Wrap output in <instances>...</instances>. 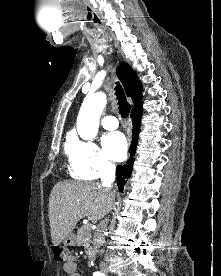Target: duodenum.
<instances>
[{
  "label": "duodenum",
  "mask_w": 221,
  "mask_h": 276,
  "mask_svg": "<svg viewBox=\"0 0 221 276\" xmlns=\"http://www.w3.org/2000/svg\"><path fill=\"white\" fill-rule=\"evenodd\" d=\"M87 254H88V256H89L90 259H94L95 258V252H94L93 249H89L87 251Z\"/></svg>",
  "instance_id": "410a0bca"
}]
</instances>
